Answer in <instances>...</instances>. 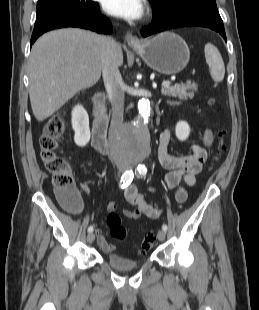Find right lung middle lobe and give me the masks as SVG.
Returning <instances> with one entry per match:
<instances>
[{
  "instance_id": "right-lung-middle-lobe-1",
  "label": "right lung middle lobe",
  "mask_w": 259,
  "mask_h": 310,
  "mask_svg": "<svg viewBox=\"0 0 259 310\" xmlns=\"http://www.w3.org/2000/svg\"><path fill=\"white\" fill-rule=\"evenodd\" d=\"M93 2L85 0H38L36 21L52 14L76 13L88 9Z\"/></svg>"
}]
</instances>
